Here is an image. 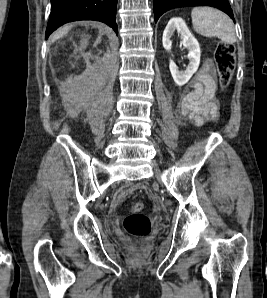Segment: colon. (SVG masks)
Here are the masks:
<instances>
[{"label": "colon", "mask_w": 267, "mask_h": 298, "mask_svg": "<svg viewBox=\"0 0 267 298\" xmlns=\"http://www.w3.org/2000/svg\"><path fill=\"white\" fill-rule=\"evenodd\" d=\"M215 62L219 75L220 85L227 88L233 76L235 68V47L231 43L222 42L218 45L215 53ZM143 204L133 203L123 221L124 229L132 236L141 238L150 234L151 221L142 213ZM136 253L140 251V243L134 244Z\"/></svg>", "instance_id": "1"}]
</instances>
